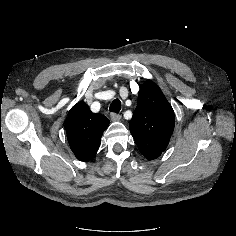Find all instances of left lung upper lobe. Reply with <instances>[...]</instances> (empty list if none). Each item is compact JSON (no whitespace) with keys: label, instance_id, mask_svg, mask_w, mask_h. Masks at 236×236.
<instances>
[{"label":"left lung upper lobe","instance_id":"obj_1","mask_svg":"<svg viewBox=\"0 0 236 236\" xmlns=\"http://www.w3.org/2000/svg\"><path fill=\"white\" fill-rule=\"evenodd\" d=\"M174 125V111L161 89L153 81H146L139 91L129 126L139 150L148 160L156 159L166 149Z\"/></svg>","mask_w":236,"mask_h":236}]
</instances>
